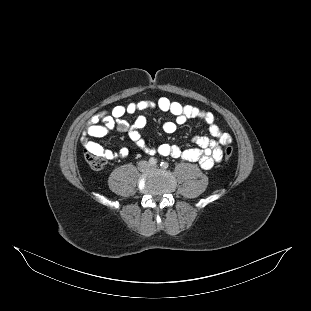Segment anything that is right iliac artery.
Instances as JSON below:
<instances>
[{"label": "right iliac artery", "instance_id": "82829eb1", "mask_svg": "<svg viewBox=\"0 0 311 311\" xmlns=\"http://www.w3.org/2000/svg\"><path fill=\"white\" fill-rule=\"evenodd\" d=\"M149 164L154 166V165L157 164V160L154 157H152V158L149 159Z\"/></svg>", "mask_w": 311, "mask_h": 311}]
</instances>
